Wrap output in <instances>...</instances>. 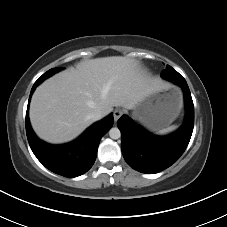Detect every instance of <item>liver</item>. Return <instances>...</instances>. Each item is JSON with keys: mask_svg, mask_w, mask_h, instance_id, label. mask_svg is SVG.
I'll return each instance as SVG.
<instances>
[{"mask_svg": "<svg viewBox=\"0 0 227 227\" xmlns=\"http://www.w3.org/2000/svg\"><path fill=\"white\" fill-rule=\"evenodd\" d=\"M150 79L137 60L112 56L85 60L44 81L30 103L35 133L50 143L78 137L94 121L96 110L134 109L149 93Z\"/></svg>", "mask_w": 227, "mask_h": 227, "instance_id": "1", "label": "liver"}]
</instances>
